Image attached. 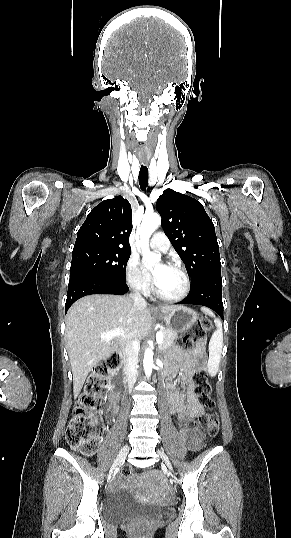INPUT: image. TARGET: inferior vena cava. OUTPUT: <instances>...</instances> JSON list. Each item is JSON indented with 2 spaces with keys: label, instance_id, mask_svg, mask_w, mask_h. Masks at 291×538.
I'll return each mask as SVG.
<instances>
[{
  "label": "inferior vena cava",
  "instance_id": "1",
  "mask_svg": "<svg viewBox=\"0 0 291 538\" xmlns=\"http://www.w3.org/2000/svg\"><path fill=\"white\" fill-rule=\"evenodd\" d=\"M130 298L134 300V303L136 306L146 305L145 299L142 297V295L139 292L134 291L132 294H130ZM139 347H140L139 340L136 338L128 341L125 346V354L127 357V378H128L129 389L133 388L136 382V377L138 375L137 367H138Z\"/></svg>",
  "mask_w": 291,
  "mask_h": 538
}]
</instances>
